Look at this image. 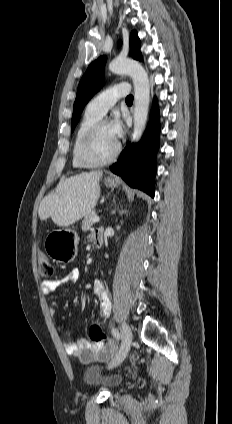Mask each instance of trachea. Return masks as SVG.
<instances>
[{"label": "trachea", "mask_w": 232, "mask_h": 424, "mask_svg": "<svg viewBox=\"0 0 232 424\" xmlns=\"http://www.w3.org/2000/svg\"><path fill=\"white\" fill-rule=\"evenodd\" d=\"M126 102L127 103H132L133 102V96L132 95L127 96Z\"/></svg>", "instance_id": "trachea-1"}]
</instances>
